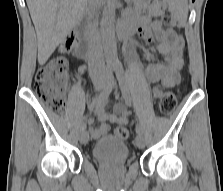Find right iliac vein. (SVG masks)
Returning <instances> with one entry per match:
<instances>
[{
	"mask_svg": "<svg viewBox=\"0 0 223 191\" xmlns=\"http://www.w3.org/2000/svg\"><path fill=\"white\" fill-rule=\"evenodd\" d=\"M93 85H94L95 91L99 92L105 87L106 83L104 80H94ZM88 140H89L88 132L85 129L81 130L80 131V142L82 144H86L88 142Z\"/></svg>",
	"mask_w": 223,
	"mask_h": 191,
	"instance_id": "1",
	"label": "right iliac vein"
}]
</instances>
